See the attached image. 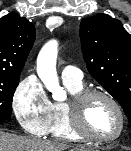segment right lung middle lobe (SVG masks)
<instances>
[{
    "label": "right lung middle lobe",
    "mask_w": 131,
    "mask_h": 151,
    "mask_svg": "<svg viewBox=\"0 0 131 151\" xmlns=\"http://www.w3.org/2000/svg\"><path fill=\"white\" fill-rule=\"evenodd\" d=\"M18 74H0V121L10 120L13 95L19 83Z\"/></svg>",
    "instance_id": "1"
}]
</instances>
